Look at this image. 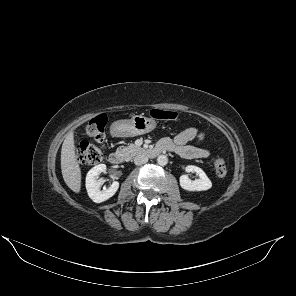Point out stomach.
<instances>
[{"label":"stomach","instance_id":"1","mask_svg":"<svg viewBox=\"0 0 296 296\" xmlns=\"http://www.w3.org/2000/svg\"><path fill=\"white\" fill-rule=\"evenodd\" d=\"M157 122L153 118L142 115L133 116L129 120H118L113 124V129L118 136L134 137L154 130Z\"/></svg>","mask_w":296,"mask_h":296}]
</instances>
